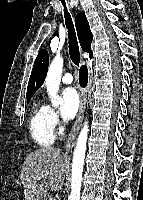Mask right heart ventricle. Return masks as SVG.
I'll use <instances>...</instances> for the list:
<instances>
[{
	"label": "right heart ventricle",
	"instance_id": "1",
	"mask_svg": "<svg viewBox=\"0 0 143 200\" xmlns=\"http://www.w3.org/2000/svg\"><path fill=\"white\" fill-rule=\"evenodd\" d=\"M29 130L33 140L42 147L50 146L54 141V134L47 125L44 106L34 104L30 119Z\"/></svg>",
	"mask_w": 143,
	"mask_h": 200
}]
</instances>
